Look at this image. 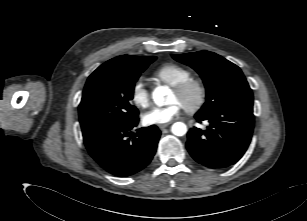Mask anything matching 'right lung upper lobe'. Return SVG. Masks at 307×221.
<instances>
[{"instance_id":"obj_1","label":"right lung upper lobe","mask_w":307,"mask_h":221,"mask_svg":"<svg viewBox=\"0 0 307 221\" xmlns=\"http://www.w3.org/2000/svg\"><path fill=\"white\" fill-rule=\"evenodd\" d=\"M150 56H129V55H122L116 58H113L106 63L102 64L99 68L95 71H101L108 68H120L122 66H129L132 64H136L148 59Z\"/></svg>"}]
</instances>
